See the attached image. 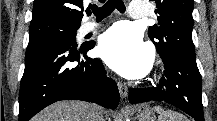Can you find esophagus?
I'll use <instances>...</instances> for the list:
<instances>
[{
    "mask_svg": "<svg viewBox=\"0 0 217 121\" xmlns=\"http://www.w3.org/2000/svg\"><path fill=\"white\" fill-rule=\"evenodd\" d=\"M119 93L122 99H127L128 97V87L125 83L118 81L117 82Z\"/></svg>",
    "mask_w": 217,
    "mask_h": 121,
    "instance_id": "1",
    "label": "esophagus"
}]
</instances>
